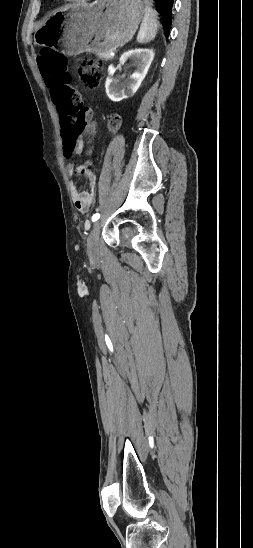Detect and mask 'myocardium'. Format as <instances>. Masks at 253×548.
<instances>
[{
    "label": "myocardium",
    "mask_w": 253,
    "mask_h": 548,
    "mask_svg": "<svg viewBox=\"0 0 253 548\" xmlns=\"http://www.w3.org/2000/svg\"><path fill=\"white\" fill-rule=\"evenodd\" d=\"M66 2H79V1H83V0H64Z\"/></svg>",
    "instance_id": "1"
}]
</instances>
